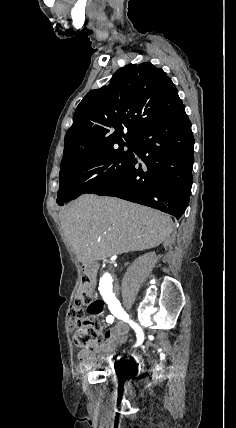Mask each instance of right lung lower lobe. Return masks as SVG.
I'll return each mask as SVG.
<instances>
[{
	"mask_svg": "<svg viewBox=\"0 0 236 428\" xmlns=\"http://www.w3.org/2000/svg\"><path fill=\"white\" fill-rule=\"evenodd\" d=\"M194 138L182 104L169 116L144 128L134 139L145 165L132 164L110 184L95 192L156 208L179 219L192 186Z\"/></svg>",
	"mask_w": 236,
	"mask_h": 428,
	"instance_id": "obj_1",
	"label": "right lung lower lobe"
}]
</instances>
